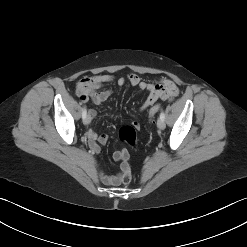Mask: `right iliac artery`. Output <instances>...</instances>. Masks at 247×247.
<instances>
[{
  "mask_svg": "<svg viewBox=\"0 0 247 247\" xmlns=\"http://www.w3.org/2000/svg\"><path fill=\"white\" fill-rule=\"evenodd\" d=\"M86 116H87V110L84 107L83 110H82V118H83V120L86 118Z\"/></svg>",
  "mask_w": 247,
  "mask_h": 247,
  "instance_id": "1",
  "label": "right iliac artery"
}]
</instances>
